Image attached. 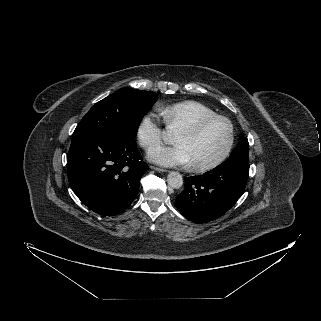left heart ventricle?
<instances>
[{"label":"left heart ventricle","instance_id":"1","mask_svg":"<svg viewBox=\"0 0 321 321\" xmlns=\"http://www.w3.org/2000/svg\"><path fill=\"white\" fill-rule=\"evenodd\" d=\"M227 140L228 129L222 121H213L195 134L179 131L175 138L176 143H182L188 148L191 164L213 161L223 151Z\"/></svg>","mask_w":321,"mask_h":321}]
</instances>
